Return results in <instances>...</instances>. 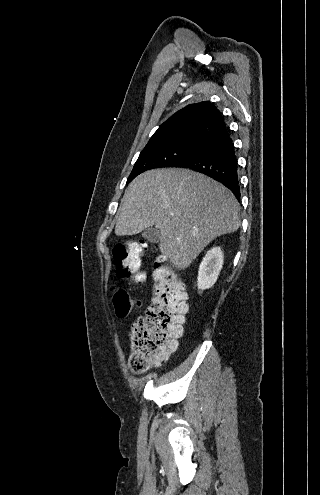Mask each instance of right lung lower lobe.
Instances as JSON below:
<instances>
[{
	"label": "right lung lower lobe",
	"mask_w": 320,
	"mask_h": 495,
	"mask_svg": "<svg viewBox=\"0 0 320 495\" xmlns=\"http://www.w3.org/2000/svg\"><path fill=\"white\" fill-rule=\"evenodd\" d=\"M176 167L203 173L224 184L240 199L238 164L229 129L212 135L188 160Z\"/></svg>",
	"instance_id": "obj_1"
}]
</instances>
